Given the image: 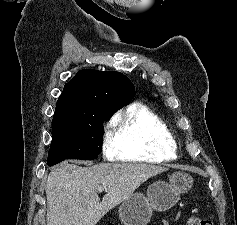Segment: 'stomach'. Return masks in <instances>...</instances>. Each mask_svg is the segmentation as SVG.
<instances>
[{"instance_id": "1", "label": "stomach", "mask_w": 237, "mask_h": 225, "mask_svg": "<svg viewBox=\"0 0 237 225\" xmlns=\"http://www.w3.org/2000/svg\"><path fill=\"white\" fill-rule=\"evenodd\" d=\"M193 185L192 177L185 172H174L169 181H156L148 186L147 195L134 193L119 208V217L125 225H146L152 211H166L188 192Z\"/></svg>"}]
</instances>
